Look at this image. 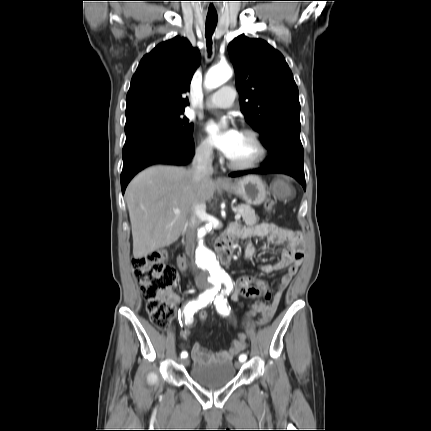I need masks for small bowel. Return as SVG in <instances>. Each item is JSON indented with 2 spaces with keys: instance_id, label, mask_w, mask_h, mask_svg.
Wrapping results in <instances>:
<instances>
[{
  "instance_id": "c3829d8e",
  "label": "small bowel",
  "mask_w": 431,
  "mask_h": 431,
  "mask_svg": "<svg viewBox=\"0 0 431 431\" xmlns=\"http://www.w3.org/2000/svg\"><path fill=\"white\" fill-rule=\"evenodd\" d=\"M233 230L237 233L238 237H266L270 245L285 246L279 261L274 264L260 265L259 267L260 270L266 274L287 269L281 277L274 294H272L267 282L252 275H243L239 277L235 283L232 282L231 285L230 294L232 300L235 302H239L241 297L251 299L263 297L267 301V303L260 300L255 301L249 308V312L251 310L258 311L256 315L258 316L256 325H265L273 317L280 304L284 290L287 288L302 263L304 254L301 250V235L298 232L279 227L269 222L245 228L234 226ZM255 252V248L251 244H248L245 250V257L251 259L255 255ZM178 266L183 273L186 272V264L183 260L178 261ZM168 299L172 305L180 304V298L176 294H168ZM247 338L248 335L246 334V339L241 343L238 342L237 338L231 343L229 349L217 352L209 351L200 344H194L191 349V358L196 366L231 361L246 348Z\"/></svg>"
}]
</instances>
